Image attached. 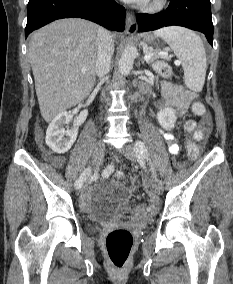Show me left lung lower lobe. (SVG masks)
I'll use <instances>...</instances> for the list:
<instances>
[{
  "mask_svg": "<svg viewBox=\"0 0 233 284\" xmlns=\"http://www.w3.org/2000/svg\"><path fill=\"white\" fill-rule=\"evenodd\" d=\"M141 32L177 25L200 31L213 44V23L210 0H170L168 8L157 14H138Z\"/></svg>",
  "mask_w": 233,
  "mask_h": 284,
  "instance_id": "1",
  "label": "left lung lower lobe"
}]
</instances>
